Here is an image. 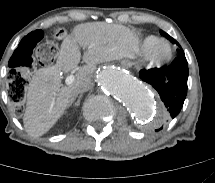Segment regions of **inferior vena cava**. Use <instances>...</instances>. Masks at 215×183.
<instances>
[{
	"label": "inferior vena cava",
	"instance_id": "1",
	"mask_svg": "<svg viewBox=\"0 0 215 183\" xmlns=\"http://www.w3.org/2000/svg\"><path fill=\"white\" fill-rule=\"evenodd\" d=\"M93 87V82L91 80H82L76 83L75 91L76 93H84L89 91Z\"/></svg>",
	"mask_w": 215,
	"mask_h": 183
}]
</instances>
